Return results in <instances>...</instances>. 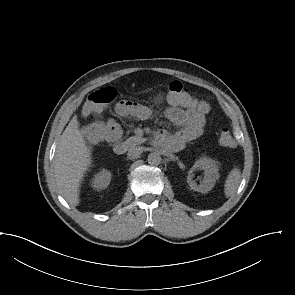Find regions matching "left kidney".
Listing matches in <instances>:
<instances>
[{
  "mask_svg": "<svg viewBox=\"0 0 295 295\" xmlns=\"http://www.w3.org/2000/svg\"><path fill=\"white\" fill-rule=\"evenodd\" d=\"M195 169L204 170V179L200 185H197V183L193 180L192 173ZM218 178L219 173L215 161L204 157L198 159L188 171L187 182L194 191L207 193L208 191L212 190Z\"/></svg>",
  "mask_w": 295,
  "mask_h": 295,
  "instance_id": "5707ae66",
  "label": "left kidney"
}]
</instances>
